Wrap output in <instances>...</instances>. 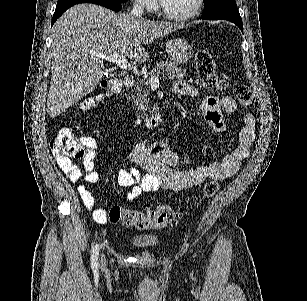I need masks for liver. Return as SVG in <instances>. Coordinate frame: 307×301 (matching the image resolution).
I'll use <instances>...</instances> for the list:
<instances>
[{"mask_svg":"<svg viewBox=\"0 0 307 301\" xmlns=\"http://www.w3.org/2000/svg\"><path fill=\"white\" fill-rule=\"evenodd\" d=\"M179 28H185L184 22L138 20L128 12L89 2L68 8L51 30L49 116H59L98 86L104 76V58L95 54H123L134 62H145L149 52L144 44Z\"/></svg>","mask_w":307,"mask_h":301,"instance_id":"6515ba94","label":"liver"}]
</instances>
